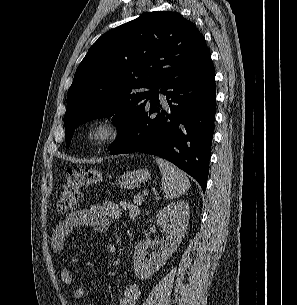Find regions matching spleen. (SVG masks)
<instances>
[{
  "mask_svg": "<svg viewBox=\"0 0 297 305\" xmlns=\"http://www.w3.org/2000/svg\"><path fill=\"white\" fill-rule=\"evenodd\" d=\"M156 162L162 173V190L166 199L178 198L190 187L186 174L170 162L156 158Z\"/></svg>",
  "mask_w": 297,
  "mask_h": 305,
  "instance_id": "3e777b00",
  "label": "spleen"
}]
</instances>
